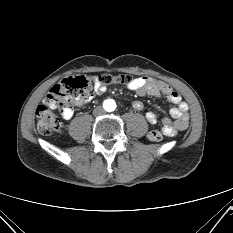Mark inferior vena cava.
Returning <instances> with one entry per match:
<instances>
[{
	"instance_id": "inferior-vena-cava-1",
	"label": "inferior vena cava",
	"mask_w": 233,
	"mask_h": 233,
	"mask_svg": "<svg viewBox=\"0 0 233 233\" xmlns=\"http://www.w3.org/2000/svg\"><path fill=\"white\" fill-rule=\"evenodd\" d=\"M105 113V110L101 107V106H97L94 110H93V114L95 116L98 115H103Z\"/></svg>"
}]
</instances>
